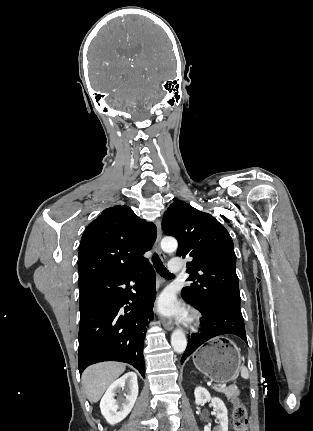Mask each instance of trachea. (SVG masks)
<instances>
[{
	"label": "trachea",
	"instance_id": "3493384b",
	"mask_svg": "<svg viewBox=\"0 0 313 431\" xmlns=\"http://www.w3.org/2000/svg\"><path fill=\"white\" fill-rule=\"evenodd\" d=\"M153 265L157 271L158 274H160L164 278H172L174 277L173 274H171L163 265L162 261L160 260L159 256L155 253L152 257Z\"/></svg>",
	"mask_w": 313,
	"mask_h": 431
}]
</instances>
